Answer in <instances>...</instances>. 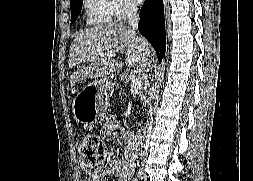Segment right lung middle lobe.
<instances>
[{"instance_id":"dd1d6c3e","label":"right lung middle lobe","mask_w":253,"mask_h":181,"mask_svg":"<svg viewBox=\"0 0 253 181\" xmlns=\"http://www.w3.org/2000/svg\"><path fill=\"white\" fill-rule=\"evenodd\" d=\"M82 9V0H71V23L78 18Z\"/></svg>"}]
</instances>
